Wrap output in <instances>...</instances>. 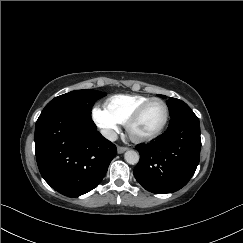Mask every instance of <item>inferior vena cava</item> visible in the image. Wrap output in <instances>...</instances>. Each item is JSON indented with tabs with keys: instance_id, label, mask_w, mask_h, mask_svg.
I'll list each match as a JSON object with an SVG mask.
<instances>
[{
	"instance_id": "602c4592",
	"label": "inferior vena cava",
	"mask_w": 243,
	"mask_h": 243,
	"mask_svg": "<svg viewBox=\"0 0 243 243\" xmlns=\"http://www.w3.org/2000/svg\"><path fill=\"white\" fill-rule=\"evenodd\" d=\"M101 134L110 141H116L117 140V134L115 131L111 129H103L101 130Z\"/></svg>"
}]
</instances>
